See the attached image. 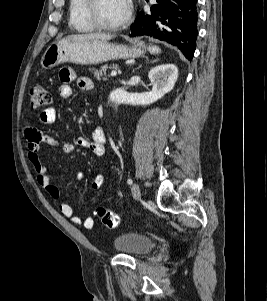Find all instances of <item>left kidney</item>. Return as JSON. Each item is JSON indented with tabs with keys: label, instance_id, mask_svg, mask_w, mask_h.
Returning <instances> with one entry per match:
<instances>
[{
	"label": "left kidney",
	"instance_id": "5707ae66",
	"mask_svg": "<svg viewBox=\"0 0 267 301\" xmlns=\"http://www.w3.org/2000/svg\"><path fill=\"white\" fill-rule=\"evenodd\" d=\"M148 77L152 84L150 92L135 97L125 89L118 88L110 93L109 101L115 104H152L174 88L178 78V68L173 64L159 65L151 69Z\"/></svg>",
	"mask_w": 267,
	"mask_h": 301
}]
</instances>
